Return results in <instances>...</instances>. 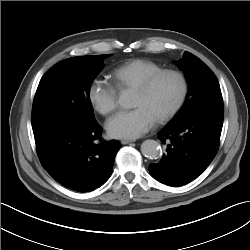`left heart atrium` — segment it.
Masks as SVG:
<instances>
[{"mask_svg": "<svg viewBox=\"0 0 250 250\" xmlns=\"http://www.w3.org/2000/svg\"><path fill=\"white\" fill-rule=\"evenodd\" d=\"M156 119L142 106L121 111L107 122V130L114 138L135 139L145 134Z\"/></svg>", "mask_w": 250, "mask_h": 250, "instance_id": "1", "label": "left heart atrium"}]
</instances>
